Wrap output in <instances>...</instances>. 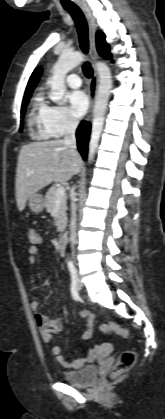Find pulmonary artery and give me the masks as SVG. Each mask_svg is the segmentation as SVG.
<instances>
[{"label":"pulmonary artery","mask_w":165,"mask_h":419,"mask_svg":"<svg viewBox=\"0 0 165 419\" xmlns=\"http://www.w3.org/2000/svg\"><path fill=\"white\" fill-rule=\"evenodd\" d=\"M66 82L71 88H79L82 84L81 78L77 74H70L66 78Z\"/></svg>","instance_id":"pulmonary-artery-1"}]
</instances>
